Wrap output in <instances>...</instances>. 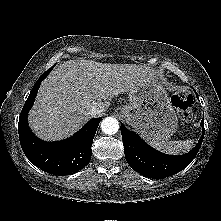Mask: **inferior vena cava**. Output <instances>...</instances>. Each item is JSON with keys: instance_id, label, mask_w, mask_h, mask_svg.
Returning a JSON list of instances; mask_svg holds the SVG:
<instances>
[{"instance_id": "1", "label": "inferior vena cava", "mask_w": 221, "mask_h": 221, "mask_svg": "<svg viewBox=\"0 0 221 221\" xmlns=\"http://www.w3.org/2000/svg\"><path fill=\"white\" fill-rule=\"evenodd\" d=\"M102 112V108L101 107H97V106H92L89 110L88 113L90 115H97L99 113Z\"/></svg>"}]
</instances>
